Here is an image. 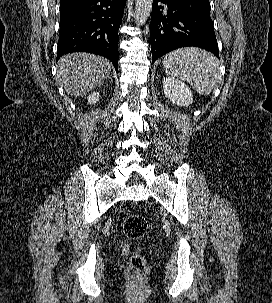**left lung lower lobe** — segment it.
<instances>
[{"label": "left lung lower lobe", "instance_id": "1", "mask_svg": "<svg viewBox=\"0 0 272 303\" xmlns=\"http://www.w3.org/2000/svg\"><path fill=\"white\" fill-rule=\"evenodd\" d=\"M150 40L152 63L186 46L200 47L219 57L209 0H153Z\"/></svg>", "mask_w": 272, "mask_h": 303}]
</instances>
